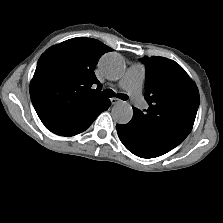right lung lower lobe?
<instances>
[{
  "label": "right lung lower lobe",
  "mask_w": 223,
  "mask_h": 223,
  "mask_svg": "<svg viewBox=\"0 0 223 223\" xmlns=\"http://www.w3.org/2000/svg\"><path fill=\"white\" fill-rule=\"evenodd\" d=\"M109 106H110V101L108 100L107 107L104 110L108 109ZM57 135L64 136L63 134H58V133H57ZM73 135H75V134H69L68 136H73Z\"/></svg>",
  "instance_id": "obj_1"
}]
</instances>
